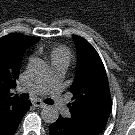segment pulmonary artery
I'll return each instance as SVG.
<instances>
[{"label":"pulmonary artery","mask_w":135,"mask_h":135,"mask_svg":"<svg viewBox=\"0 0 135 135\" xmlns=\"http://www.w3.org/2000/svg\"><path fill=\"white\" fill-rule=\"evenodd\" d=\"M67 65L65 64H53L52 73L49 79L40 83H32L28 85L25 90L32 95H39L44 93H50L51 98L56 103L58 108L62 111L65 116H68V111L62 102L60 95V85L64 74L66 72ZM18 88V91H21Z\"/></svg>","instance_id":"obj_1"}]
</instances>
